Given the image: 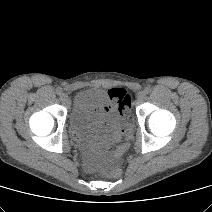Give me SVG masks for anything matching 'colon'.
Returning a JSON list of instances; mask_svg holds the SVG:
<instances>
[{"mask_svg":"<svg viewBox=\"0 0 212 212\" xmlns=\"http://www.w3.org/2000/svg\"><path fill=\"white\" fill-rule=\"evenodd\" d=\"M115 92L119 93V97H118V100H117L118 111L121 114H124L130 108L131 98L124 89L112 90L111 91V97H113ZM125 150H126V145H122L121 147L118 148L117 154L120 155ZM121 174H122V171H121L120 167H118V166H113L106 172V175L109 178H112V179L119 178L121 176Z\"/></svg>","mask_w":212,"mask_h":212,"instance_id":"5ec220e1","label":"colon"}]
</instances>
